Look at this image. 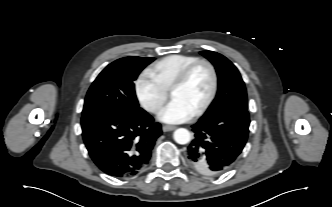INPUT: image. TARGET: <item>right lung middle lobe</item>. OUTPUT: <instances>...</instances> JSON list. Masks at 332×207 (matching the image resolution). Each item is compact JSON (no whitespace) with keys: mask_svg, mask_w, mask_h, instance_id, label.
<instances>
[{"mask_svg":"<svg viewBox=\"0 0 332 207\" xmlns=\"http://www.w3.org/2000/svg\"><path fill=\"white\" fill-rule=\"evenodd\" d=\"M154 58L125 57L109 64L92 83L82 117L101 111L132 113L139 108L134 81Z\"/></svg>","mask_w":332,"mask_h":207,"instance_id":"right-lung-middle-lobe-1","label":"right lung middle lobe"}]
</instances>
